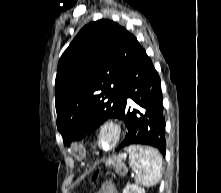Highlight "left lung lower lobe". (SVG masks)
<instances>
[{"instance_id": "obj_1", "label": "left lung lower lobe", "mask_w": 221, "mask_h": 193, "mask_svg": "<svg viewBox=\"0 0 221 193\" xmlns=\"http://www.w3.org/2000/svg\"><path fill=\"white\" fill-rule=\"evenodd\" d=\"M122 116L128 128V134L117 150L130 145H150L165 155V119L163 116L162 91L160 77L145 50L139 46L130 61L124 75L121 90ZM127 98H131L139 109L130 112ZM154 107L159 116L157 123L146 124L148 107Z\"/></svg>"}]
</instances>
